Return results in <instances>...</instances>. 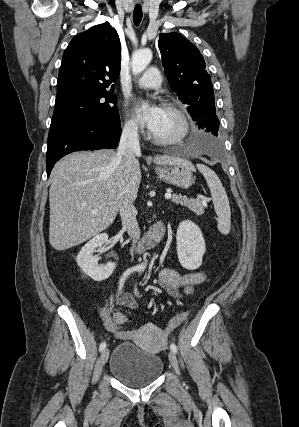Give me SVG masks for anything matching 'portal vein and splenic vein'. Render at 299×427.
I'll list each match as a JSON object with an SVG mask.
<instances>
[{"instance_id": "obj_1", "label": "portal vein and splenic vein", "mask_w": 299, "mask_h": 427, "mask_svg": "<svg viewBox=\"0 0 299 427\" xmlns=\"http://www.w3.org/2000/svg\"><path fill=\"white\" fill-rule=\"evenodd\" d=\"M165 198L166 199H170L171 198V194H165ZM96 213V212H95Z\"/></svg>"}]
</instances>
